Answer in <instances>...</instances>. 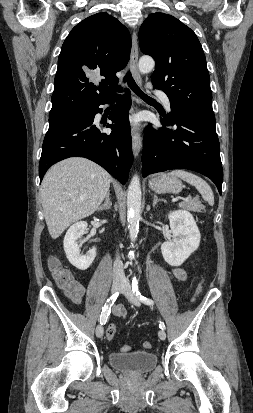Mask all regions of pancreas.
I'll list each match as a JSON object with an SVG mask.
<instances>
[{"label":"pancreas","mask_w":253,"mask_h":413,"mask_svg":"<svg viewBox=\"0 0 253 413\" xmlns=\"http://www.w3.org/2000/svg\"><path fill=\"white\" fill-rule=\"evenodd\" d=\"M179 206L193 212H201L203 208L198 198H188L186 201L180 203Z\"/></svg>","instance_id":"pancreas-1"}]
</instances>
